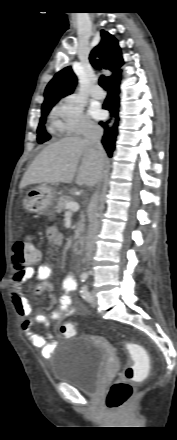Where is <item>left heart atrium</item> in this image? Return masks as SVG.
Returning a JSON list of instances; mask_svg holds the SVG:
<instances>
[{"mask_svg":"<svg viewBox=\"0 0 177 440\" xmlns=\"http://www.w3.org/2000/svg\"><path fill=\"white\" fill-rule=\"evenodd\" d=\"M90 113H91V115L94 117V118H101L102 117V112H101V110L100 109H98V108H92L91 109V111H90Z\"/></svg>","mask_w":177,"mask_h":440,"instance_id":"39dd6f15","label":"left heart atrium"}]
</instances>
